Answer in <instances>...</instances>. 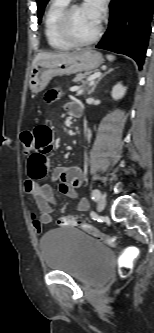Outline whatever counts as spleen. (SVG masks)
<instances>
[{
  "label": "spleen",
  "instance_id": "obj_1",
  "mask_svg": "<svg viewBox=\"0 0 154 333\" xmlns=\"http://www.w3.org/2000/svg\"><path fill=\"white\" fill-rule=\"evenodd\" d=\"M106 57H107V59H108L109 61H111V62L115 60V56H114V55H110V54H109V55H107Z\"/></svg>",
  "mask_w": 154,
  "mask_h": 333
}]
</instances>
